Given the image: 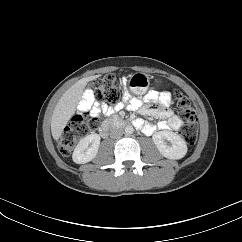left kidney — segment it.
I'll use <instances>...</instances> for the list:
<instances>
[{"mask_svg":"<svg viewBox=\"0 0 242 242\" xmlns=\"http://www.w3.org/2000/svg\"><path fill=\"white\" fill-rule=\"evenodd\" d=\"M159 152L169 159H181L187 153L186 142L176 133L168 130L159 131L152 136ZM167 141L171 145L167 144Z\"/></svg>","mask_w":242,"mask_h":242,"instance_id":"left-kidney-1","label":"left kidney"}]
</instances>
